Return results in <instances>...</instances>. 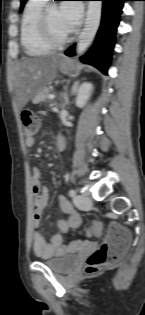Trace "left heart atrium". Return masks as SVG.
<instances>
[{"label":"left heart atrium","instance_id":"left-heart-atrium-1","mask_svg":"<svg viewBox=\"0 0 145 315\" xmlns=\"http://www.w3.org/2000/svg\"><path fill=\"white\" fill-rule=\"evenodd\" d=\"M59 12L70 31L79 24L82 16V6L76 0L65 1L60 5Z\"/></svg>","mask_w":145,"mask_h":315}]
</instances>
